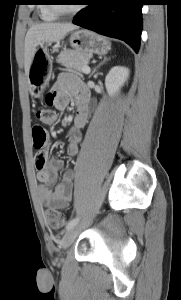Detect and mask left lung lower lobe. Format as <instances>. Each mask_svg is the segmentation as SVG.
I'll use <instances>...</instances> for the list:
<instances>
[{
  "mask_svg": "<svg viewBox=\"0 0 181 300\" xmlns=\"http://www.w3.org/2000/svg\"><path fill=\"white\" fill-rule=\"evenodd\" d=\"M143 2L144 0H88V6L77 13L73 23L123 40L138 52Z\"/></svg>",
  "mask_w": 181,
  "mask_h": 300,
  "instance_id": "0a47b994",
  "label": "left lung lower lobe"
}]
</instances>
